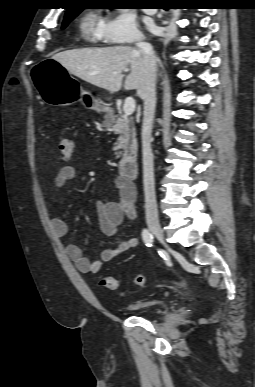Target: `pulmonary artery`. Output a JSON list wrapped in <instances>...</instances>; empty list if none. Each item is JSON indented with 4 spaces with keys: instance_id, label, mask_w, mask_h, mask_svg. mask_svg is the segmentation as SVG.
I'll return each instance as SVG.
<instances>
[{
    "instance_id": "pulmonary-artery-1",
    "label": "pulmonary artery",
    "mask_w": 255,
    "mask_h": 387,
    "mask_svg": "<svg viewBox=\"0 0 255 387\" xmlns=\"http://www.w3.org/2000/svg\"><path fill=\"white\" fill-rule=\"evenodd\" d=\"M156 9H146L145 12L148 13V14H155L156 13Z\"/></svg>"
}]
</instances>
